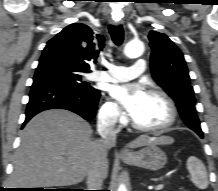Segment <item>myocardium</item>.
<instances>
[{
  "instance_id": "obj_1",
  "label": "myocardium",
  "mask_w": 218,
  "mask_h": 191,
  "mask_svg": "<svg viewBox=\"0 0 218 191\" xmlns=\"http://www.w3.org/2000/svg\"><path fill=\"white\" fill-rule=\"evenodd\" d=\"M148 94L158 96L166 102V104L169 108L170 117L165 124L158 126V127H144V126L137 124L134 119H132V126L141 132H148V133L165 132L168 129H170L176 123V121L178 119L177 106H176L175 102L173 101V99L165 91H163L161 89L152 88L148 91Z\"/></svg>"
}]
</instances>
